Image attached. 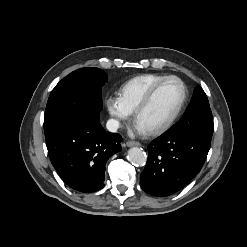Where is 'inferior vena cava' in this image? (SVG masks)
I'll list each match as a JSON object with an SVG mask.
<instances>
[{
	"instance_id": "602c4592",
	"label": "inferior vena cava",
	"mask_w": 247,
	"mask_h": 247,
	"mask_svg": "<svg viewBox=\"0 0 247 247\" xmlns=\"http://www.w3.org/2000/svg\"><path fill=\"white\" fill-rule=\"evenodd\" d=\"M106 127L110 132H116L119 128V122L115 119H109L106 123Z\"/></svg>"
}]
</instances>
